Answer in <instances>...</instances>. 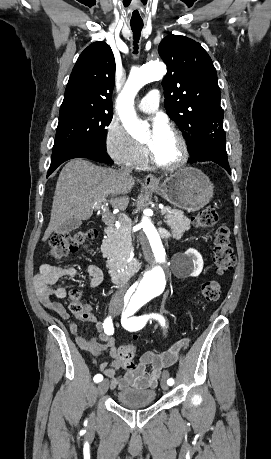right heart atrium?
<instances>
[{"label":"right heart atrium","instance_id":"d8ad5b80","mask_svg":"<svg viewBox=\"0 0 271 459\" xmlns=\"http://www.w3.org/2000/svg\"><path fill=\"white\" fill-rule=\"evenodd\" d=\"M104 144L108 155L117 163L137 166L148 155L146 147L134 140L129 131L115 121L106 128Z\"/></svg>","mask_w":271,"mask_h":459}]
</instances>
